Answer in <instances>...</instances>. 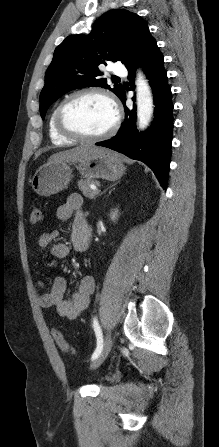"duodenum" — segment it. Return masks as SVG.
<instances>
[{
    "instance_id": "obj_1",
    "label": "duodenum",
    "mask_w": 219,
    "mask_h": 447,
    "mask_svg": "<svg viewBox=\"0 0 219 447\" xmlns=\"http://www.w3.org/2000/svg\"><path fill=\"white\" fill-rule=\"evenodd\" d=\"M84 235H85V242L83 244V251H85L88 247L89 242V235H90V228L88 227L87 223L84 220Z\"/></svg>"
}]
</instances>
